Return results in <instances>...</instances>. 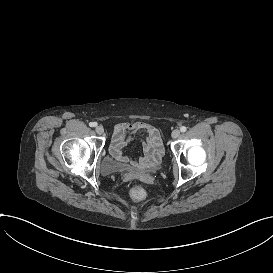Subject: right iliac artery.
I'll return each mask as SVG.
<instances>
[{"mask_svg":"<svg viewBox=\"0 0 273 273\" xmlns=\"http://www.w3.org/2000/svg\"><path fill=\"white\" fill-rule=\"evenodd\" d=\"M96 125H97L96 122H90V123H89V126H90V127H95Z\"/></svg>","mask_w":273,"mask_h":273,"instance_id":"obj_1","label":"right iliac artery"}]
</instances>
